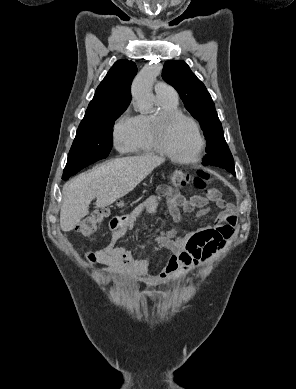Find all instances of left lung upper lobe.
I'll return each mask as SVG.
<instances>
[{"mask_svg": "<svg viewBox=\"0 0 296 389\" xmlns=\"http://www.w3.org/2000/svg\"><path fill=\"white\" fill-rule=\"evenodd\" d=\"M162 77L177 90L188 111L200 122L208 142L203 165L219 166L229 171L234 167L233 160L224 162L213 156L214 149L225 139L215 105L205 85L183 61H166Z\"/></svg>", "mask_w": 296, "mask_h": 389, "instance_id": "1", "label": "left lung upper lobe"}]
</instances>
